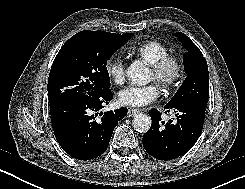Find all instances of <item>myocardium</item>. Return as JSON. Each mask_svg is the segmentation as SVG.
Segmentation results:
<instances>
[{"label": "myocardium", "instance_id": "1", "mask_svg": "<svg viewBox=\"0 0 245 189\" xmlns=\"http://www.w3.org/2000/svg\"><path fill=\"white\" fill-rule=\"evenodd\" d=\"M150 70L158 85L167 90L179 82L184 72V66L180 58L168 55L151 65Z\"/></svg>", "mask_w": 245, "mask_h": 189}]
</instances>
